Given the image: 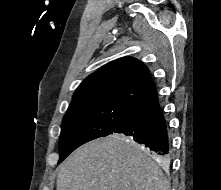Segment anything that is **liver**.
I'll use <instances>...</instances> for the list:
<instances>
[{
  "instance_id": "liver-1",
  "label": "liver",
  "mask_w": 221,
  "mask_h": 190,
  "mask_svg": "<svg viewBox=\"0 0 221 190\" xmlns=\"http://www.w3.org/2000/svg\"><path fill=\"white\" fill-rule=\"evenodd\" d=\"M56 190H170V182L140 146L113 134L71 153L58 168Z\"/></svg>"
}]
</instances>
